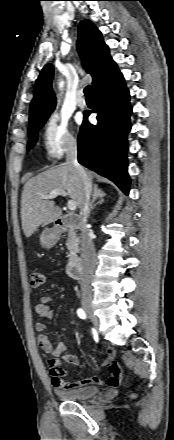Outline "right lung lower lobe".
<instances>
[{
    "mask_svg": "<svg viewBox=\"0 0 174 440\" xmlns=\"http://www.w3.org/2000/svg\"><path fill=\"white\" fill-rule=\"evenodd\" d=\"M97 125L85 115L78 136V161L113 181L126 195L130 189L127 173V135L131 129L132 107L124 78L114 64L94 89Z\"/></svg>",
    "mask_w": 174,
    "mask_h": 440,
    "instance_id": "right-lung-lower-lobe-1",
    "label": "right lung lower lobe"
}]
</instances>
